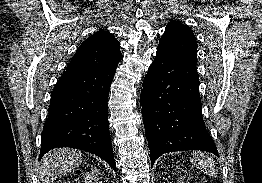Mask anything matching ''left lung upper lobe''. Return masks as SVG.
I'll use <instances>...</instances> for the list:
<instances>
[{
  "instance_id": "5c2ea615",
  "label": "left lung upper lobe",
  "mask_w": 262,
  "mask_h": 183,
  "mask_svg": "<svg viewBox=\"0 0 262 183\" xmlns=\"http://www.w3.org/2000/svg\"><path fill=\"white\" fill-rule=\"evenodd\" d=\"M157 52L194 66L197 64V43L194 33L179 21L167 24Z\"/></svg>"
}]
</instances>
